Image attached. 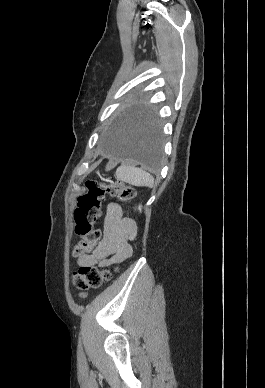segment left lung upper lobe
Instances as JSON below:
<instances>
[{"mask_svg": "<svg viewBox=\"0 0 265 388\" xmlns=\"http://www.w3.org/2000/svg\"><path fill=\"white\" fill-rule=\"evenodd\" d=\"M132 108L137 109V110H145L146 109L145 104H144L143 100H141V99L136 100L134 102V104L132 105Z\"/></svg>", "mask_w": 265, "mask_h": 388, "instance_id": "left-lung-upper-lobe-1", "label": "left lung upper lobe"}]
</instances>
